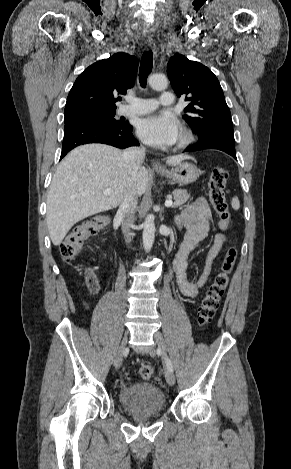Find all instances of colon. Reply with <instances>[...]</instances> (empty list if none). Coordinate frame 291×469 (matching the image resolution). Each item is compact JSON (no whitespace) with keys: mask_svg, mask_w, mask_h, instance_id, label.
<instances>
[{"mask_svg":"<svg viewBox=\"0 0 291 469\" xmlns=\"http://www.w3.org/2000/svg\"><path fill=\"white\" fill-rule=\"evenodd\" d=\"M228 177V171L224 167L218 166L213 169L208 182V195L211 205L220 220L226 224L230 223V213L224 192ZM107 221V217L98 215L74 226L60 246L62 259L67 263L74 261L80 253L84 241L103 229ZM237 254V248L234 245L227 249L221 270L215 275L202 298L198 310V322L200 325H207L213 320L221 298L228 286ZM152 375L153 368L151 365L145 364L140 367L139 376L143 380L151 379Z\"/></svg>","mask_w":291,"mask_h":469,"instance_id":"obj_1","label":"colon"}]
</instances>
